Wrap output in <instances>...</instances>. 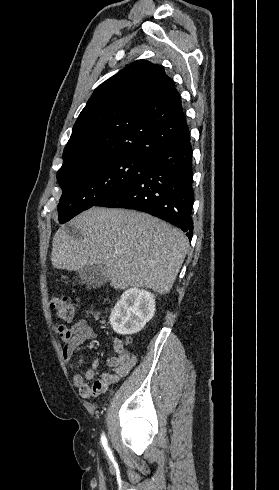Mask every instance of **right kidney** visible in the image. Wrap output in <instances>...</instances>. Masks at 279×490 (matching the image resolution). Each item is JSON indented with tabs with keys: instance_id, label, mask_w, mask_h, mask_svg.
I'll return each mask as SVG.
<instances>
[{
	"instance_id": "ca27d5eb",
	"label": "right kidney",
	"mask_w": 279,
	"mask_h": 490,
	"mask_svg": "<svg viewBox=\"0 0 279 490\" xmlns=\"http://www.w3.org/2000/svg\"><path fill=\"white\" fill-rule=\"evenodd\" d=\"M156 312L155 296L148 290L129 288L115 304L110 314V324L116 334H137Z\"/></svg>"
}]
</instances>
